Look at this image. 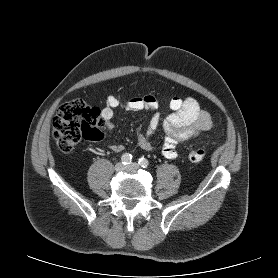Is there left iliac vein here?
<instances>
[{
    "label": "left iliac vein",
    "mask_w": 278,
    "mask_h": 278,
    "mask_svg": "<svg viewBox=\"0 0 278 278\" xmlns=\"http://www.w3.org/2000/svg\"><path fill=\"white\" fill-rule=\"evenodd\" d=\"M126 169L130 172H136L139 169V165L136 163H130Z\"/></svg>",
    "instance_id": "4c4485c4"
}]
</instances>
